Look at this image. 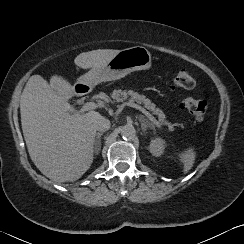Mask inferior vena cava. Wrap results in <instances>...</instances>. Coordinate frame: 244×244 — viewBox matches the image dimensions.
Segmentation results:
<instances>
[{
	"instance_id": "inferior-vena-cava-1",
	"label": "inferior vena cava",
	"mask_w": 244,
	"mask_h": 244,
	"mask_svg": "<svg viewBox=\"0 0 244 244\" xmlns=\"http://www.w3.org/2000/svg\"><path fill=\"white\" fill-rule=\"evenodd\" d=\"M93 125L97 131L103 132L110 128V121L103 116H99L94 120Z\"/></svg>"
}]
</instances>
